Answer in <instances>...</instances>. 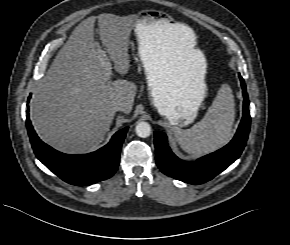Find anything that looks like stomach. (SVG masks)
Here are the masks:
<instances>
[{"mask_svg": "<svg viewBox=\"0 0 290 245\" xmlns=\"http://www.w3.org/2000/svg\"><path fill=\"white\" fill-rule=\"evenodd\" d=\"M168 23L160 12L146 10L135 33L152 103L171 125L182 128L194 122L206 97V61L194 53L191 66L183 65L164 37Z\"/></svg>", "mask_w": 290, "mask_h": 245, "instance_id": "obj_1", "label": "stomach"}]
</instances>
